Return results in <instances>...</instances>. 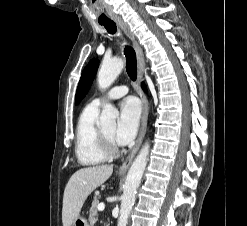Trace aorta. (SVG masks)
<instances>
[{"label":"aorta","instance_id":"obj_1","mask_svg":"<svg viewBox=\"0 0 247 226\" xmlns=\"http://www.w3.org/2000/svg\"><path fill=\"white\" fill-rule=\"evenodd\" d=\"M124 63L122 59H111L103 61L98 72V85L102 90L107 89L119 76L123 69ZM118 111L111 104L106 103L100 116V126L114 125ZM150 146L148 143L140 150L139 154L133 161L124 186V192L121 197V209L118 219V226H126L128 216L135 203L136 191L140 185L143 173L145 171Z\"/></svg>","mask_w":247,"mask_h":226}]
</instances>
